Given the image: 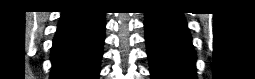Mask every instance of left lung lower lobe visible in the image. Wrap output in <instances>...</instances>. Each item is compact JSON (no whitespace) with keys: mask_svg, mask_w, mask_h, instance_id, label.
<instances>
[{"mask_svg":"<svg viewBox=\"0 0 255 79\" xmlns=\"http://www.w3.org/2000/svg\"><path fill=\"white\" fill-rule=\"evenodd\" d=\"M144 25L152 79H195L196 54L182 13L147 12Z\"/></svg>","mask_w":255,"mask_h":79,"instance_id":"left-lung-lower-lobe-1","label":"left lung lower lobe"}]
</instances>
